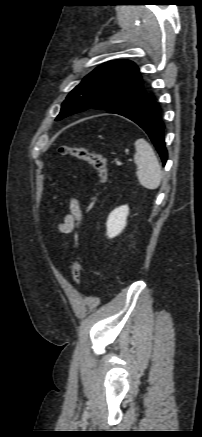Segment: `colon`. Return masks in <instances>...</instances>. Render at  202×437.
Masks as SVG:
<instances>
[{
    "label": "colon",
    "instance_id": "obj_1",
    "mask_svg": "<svg viewBox=\"0 0 202 437\" xmlns=\"http://www.w3.org/2000/svg\"><path fill=\"white\" fill-rule=\"evenodd\" d=\"M57 151L60 155L72 156L88 163L96 171L100 183L105 184L108 182L109 173L107 164L100 154L81 146H61ZM71 274L73 282L79 284L82 277V266L78 259H75L72 263Z\"/></svg>",
    "mask_w": 202,
    "mask_h": 437
}]
</instances>
